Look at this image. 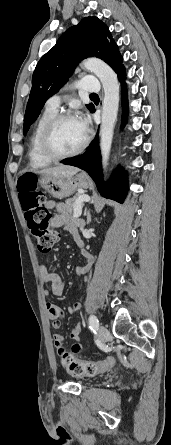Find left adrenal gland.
<instances>
[{
	"mask_svg": "<svg viewBox=\"0 0 171 445\" xmlns=\"http://www.w3.org/2000/svg\"><path fill=\"white\" fill-rule=\"evenodd\" d=\"M84 214L87 216V224H90V222H91V214H90V211H89V210H88V211H85Z\"/></svg>",
	"mask_w": 171,
	"mask_h": 445,
	"instance_id": "obj_1",
	"label": "left adrenal gland"
}]
</instances>
